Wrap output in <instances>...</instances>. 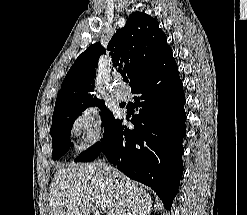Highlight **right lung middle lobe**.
Returning a JSON list of instances; mask_svg holds the SVG:
<instances>
[{"label": "right lung middle lobe", "instance_id": "obj_1", "mask_svg": "<svg viewBox=\"0 0 247 215\" xmlns=\"http://www.w3.org/2000/svg\"><path fill=\"white\" fill-rule=\"evenodd\" d=\"M90 106H98L102 111L104 130L115 120L113 114L106 108L104 101L93 98L77 103L71 107L59 110L53 114L50 134L52 136V158L55 160L64 155L73 145L70 140V131L75 119L84 109Z\"/></svg>", "mask_w": 247, "mask_h": 215}]
</instances>
